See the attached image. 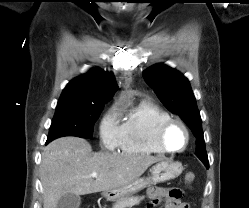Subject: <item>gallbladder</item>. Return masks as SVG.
Instances as JSON below:
<instances>
[{
	"mask_svg": "<svg viewBox=\"0 0 249 208\" xmlns=\"http://www.w3.org/2000/svg\"><path fill=\"white\" fill-rule=\"evenodd\" d=\"M81 204V197L73 193H66L63 195L56 208H79Z\"/></svg>",
	"mask_w": 249,
	"mask_h": 208,
	"instance_id": "obj_1",
	"label": "gallbladder"
}]
</instances>
